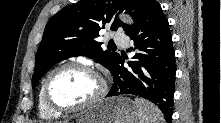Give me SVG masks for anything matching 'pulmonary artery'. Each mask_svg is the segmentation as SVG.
I'll return each mask as SVG.
<instances>
[{
    "label": "pulmonary artery",
    "mask_w": 221,
    "mask_h": 123,
    "mask_svg": "<svg viewBox=\"0 0 221 123\" xmlns=\"http://www.w3.org/2000/svg\"><path fill=\"white\" fill-rule=\"evenodd\" d=\"M113 38L115 42L121 45H126L128 42V38L123 33L120 32L115 33Z\"/></svg>",
    "instance_id": "obj_1"
}]
</instances>
